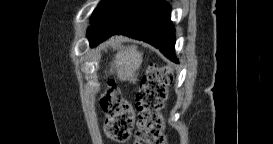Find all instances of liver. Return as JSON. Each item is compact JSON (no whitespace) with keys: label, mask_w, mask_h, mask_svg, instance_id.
I'll return each instance as SVG.
<instances>
[{"label":"liver","mask_w":273,"mask_h":144,"mask_svg":"<svg viewBox=\"0 0 273 144\" xmlns=\"http://www.w3.org/2000/svg\"><path fill=\"white\" fill-rule=\"evenodd\" d=\"M124 37L115 36L110 42L117 46L115 59L110 64V74L116 73L121 81H130L135 84L138 81V71L141 67L143 58L137 46H123L121 43Z\"/></svg>","instance_id":"1"}]
</instances>
